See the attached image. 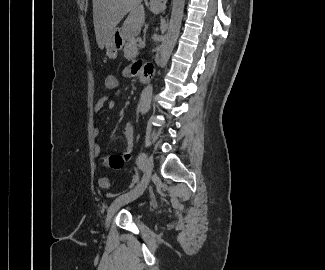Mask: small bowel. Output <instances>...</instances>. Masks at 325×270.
Instances as JSON below:
<instances>
[{"mask_svg":"<svg viewBox=\"0 0 325 270\" xmlns=\"http://www.w3.org/2000/svg\"><path fill=\"white\" fill-rule=\"evenodd\" d=\"M140 68L143 69L142 74L147 77L151 76L154 72L153 64L139 63L136 67L125 70L124 75L126 77L136 76L138 73V70ZM117 84H118V81H117ZM119 94H120V91H119V89H117L113 96L105 95V96L99 98L94 105V111L97 113V112H100L104 108H113L115 106L116 99L119 96ZM99 133H100L99 129L97 127H94L92 130L93 137L97 138L99 136ZM123 136L125 139V148H124L123 155L101 156V146L98 143H96L94 145L93 154L95 157L101 158V162L104 166L111 167L114 169H119L124 165L125 161L130 159L131 153L133 151V145H134V129L131 124L128 123L125 125V127L123 129Z\"/></svg>","mask_w":325,"mask_h":270,"instance_id":"obj_1","label":"small bowel"}]
</instances>
